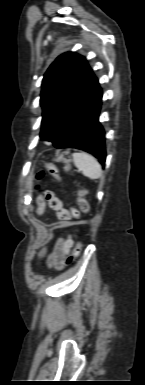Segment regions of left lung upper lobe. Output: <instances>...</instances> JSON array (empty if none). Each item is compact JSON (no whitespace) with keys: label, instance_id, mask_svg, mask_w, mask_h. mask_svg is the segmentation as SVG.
<instances>
[{"label":"left lung upper lobe","instance_id":"1","mask_svg":"<svg viewBox=\"0 0 145 385\" xmlns=\"http://www.w3.org/2000/svg\"><path fill=\"white\" fill-rule=\"evenodd\" d=\"M93 77L86 60L74 52L60 55L51 64L42 82L41 139L51 140L62 120L85 94Z\"/></svg>","mask_w":145,"mask_h":385}]
</instances>
